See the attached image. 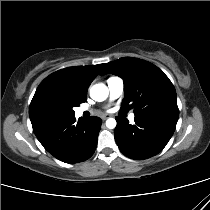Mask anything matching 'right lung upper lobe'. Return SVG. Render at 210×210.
<instances>
[{
    "instance_id": "right-lung-upper-lobe-1",
    "label": "right lung upper lobe",
    "mask_w": 210,
    "mask_h": 210,
    "mask_svg": "<svg viewBox=\"0 0 210 210\" xmlns=\"http://www.w3.org/2000/svg\"><path fill=\"white\" fill-rule=\"evenodd\" d=\"M103 64L75 66L50 74L38 86L29 107L30 119L37 108L48 98L60 95L70 96L80 103L85 102L90 83L95 79Z\"/></svg>"
}]
</instances>
